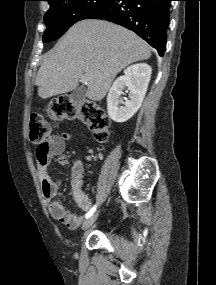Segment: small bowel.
<instances>
[{
    "mask_svg": "<svg viewBox=\"0 0 216 285\" xmlns=\"http://www.w3.org/2000/svg\"><path fill=\"white\" fill-rule=\"evenodd\" d=\"M72 137L73 135L68 132L60 135H52L45 149L37 148L36 158L42 169L40 175L42 193L48 201L50 215L65 224L68 228L76 229L81 224L83 216L79 213L68 211L61 202L54 200L59 187L44 170L53 156L62 154L65 151L66 141L72 139ZM83 172V164L79 161L75 162L71 170V187L78 208L80 211L86 212L91 207V200L82 189Z\"/></svg>",
    "mask_w": 216,
    "mask_h": 285,
    "instance_id": "small-bowel-1",
    "label": "small bowel"
}]
</instances>
